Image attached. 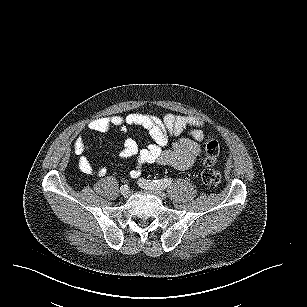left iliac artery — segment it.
I'll list each match as a JSON object with an SVG mask.
<instances>
[{"label":"left iliac artery","instance_id":"44dca946","mask_svg":"<svg viewBox=\"0 0 307 307\" xmlns=\"http://www.w3.org/2000/svg\"><path fill=\"white\" fill-rule=\"evenodd\" d=\"M140 182L142 185H144L143 187L148 188V187H156L159 190H164L166 189L168 186H170L173 182L172 178H164V179H159V180H144V179H140Z\"/></svg>","mask_w":307,"mask_h":307}]
</instances>
